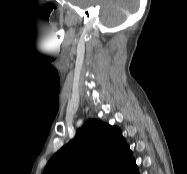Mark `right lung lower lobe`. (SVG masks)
Instances as JSON below:
<instances>
[{
	"label": "right lung lower lobe",
	"instance_id": "1",
	"mask_svg": "<svg viewBox=\"0 0 187 174\" xmlns=\"http://www.w3.org/2000/svg\"><path fill=\"white\" fill-rule=\"evenodd\" d=\"M132 174H138V170H136L135 172H133Z\"/></svg>",
	"mask_w": 187,
	"mask_h": 174
}]
</instances>
